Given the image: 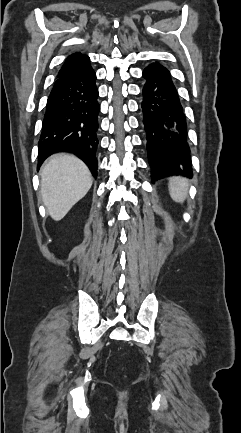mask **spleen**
Returning <instances> with one entry per match:
<instances>
[{"instance_id": "1", "label": "spleen", "mask_w": 241, "mask_h": 433, "mask_svg": "<svg viewBox=\"0 0 241 433\" xmlns=\"http://www.w3.org/2000/svg\"><path fill=\"white\" fill-rule=\"evenodd\" d=\"M188 180L183 177H173L169 182V193L177 203H183L188 194Z\"/></svg>"}]
</instances>
